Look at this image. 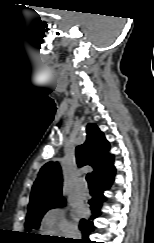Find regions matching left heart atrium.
I'll use <instances>...</instances> for the list:
<instances>
[{"label":"left heart atrium","instance_id":"obj_1","mask_svg":"<svg viewBox=\"0 0 154 243\" xmlns=\"http://www.w3.org/2000/svg\"><path fill=\"white\" fill-rule=\"evenodd\" d=\"M84 214H85V209L84 208L77 209V215L82 216Z\"/></svg>","mask_w":154,"mask_h":243}]
</instances>
